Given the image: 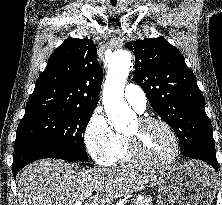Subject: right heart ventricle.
<instances>
[{
    "instance_id": "1",
    "label": "right heart ventricle",
    "mask_w": 222,
    "mask_h": 205,
    "mask_svg": "<svg viewBox=\"0 0 222 205\" xmlns=\"http://www.w3.org/2000/svg\"><path fill=\"white\" fill-rule=\"evenodd\" d=\"M136 162L132 159L128 141L125 136H121V141L116 154L113 156L109 165L121 164V165H133Z\"/></svg>"
}]
</instances>
